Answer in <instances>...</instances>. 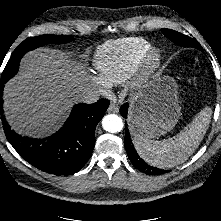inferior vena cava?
<instances>
[{
    "label": "inferior vena cava",
    "mask_w": 221,
    "mask_h": 221,
    "mask_svg": "<svg viewBox=\"0 0 221 221\" xmlns=\"http://www.w3.org/2000/svg\"><path fill=\"white\" fill-rule=\"evenodd\" d=\"M99 92L91 86H84L77 94L76 99L82 103H95L99 100Z\"/></svg>",
    "instance_id": "1"
}]
</instances>
